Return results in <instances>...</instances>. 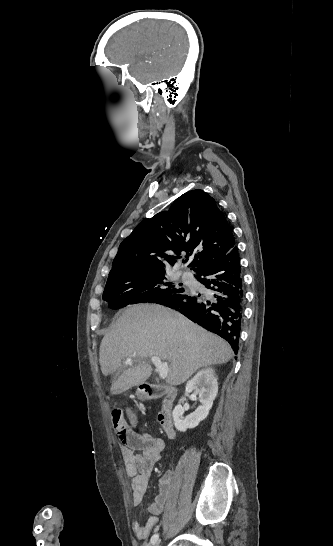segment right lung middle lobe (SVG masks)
<instances>
[{
	"mask_svg": "<svg viewBox=\"0 0 333 546\" xmlns=\"http://www.w3.org/2000/svg\"><path fill=\"white\" fill-rule=\"evenodd\" d=\"M165 271L115 269L111 270L103 292V299L112 309L128 304L156 302L171 295L184 294L179 285L167 282Z\"/></svg>",
	"mask_w": 333,
	"mask_h": 546,
	"instance_id": "dd1d6c3e",
	"label": "right lung middle lobe"
}]
</instances>
